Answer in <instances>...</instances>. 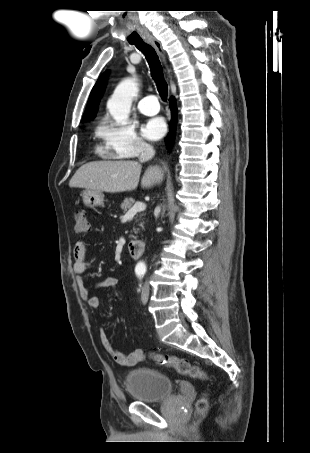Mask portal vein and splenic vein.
<instances>
[{"label": "portal vein and splenic vein", "instance_id": "portal-vein-and-splenic-vein-1", "mask_svg": "<svg viewBox=\"0 0 310 453\" xmlns=\"http://www.w3.org/2000/svg\"><path fill=\"white\" fill-rule=\"evenodd\" d=\"M146 209V205L142 202H136L133 207H131L126 215H135L137 212L144 211Z\"/></svg>", "mask_w": 310, "mask_h": 453}]
</instances>
